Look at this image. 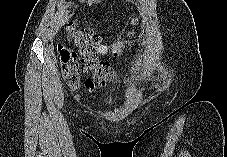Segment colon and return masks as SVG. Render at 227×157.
<instances>
[{
	"mask_svg": "<svg viewBox=\"0 0 227 157\" xmlns=\"http://www.w3.org/2000/svg\"><path fill=\"white\" fill-rule=\"evenodd\" d=\"M66 32L79 48L78 53L63 45L57 49L63 78L70 87L77 88L80 85L81 72L91 74L87 82L92 84L104 85L117 80L110 66L98 59V47L101 45L99 35L91 29H76L72 24L67 25Z\"/></svg>",
	"mask_w": 227,
	"mask_h": 157,
	"instance_id": "colon-1",
	"label": "colon"
}]
</instances>
